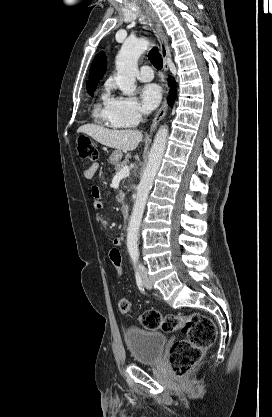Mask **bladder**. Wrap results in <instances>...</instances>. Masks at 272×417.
Here are the masks:
<instances>
[{
	"label": "bladder",
	"mask_w": 272,
	"mask_h": 417,
	"mask_svg": "<svg viewBox=\"0 0 272 417\" xmlns=\"http://www.w3.org/2000/svg\"><path fill=\"white\" fill-rule=\"evenodd\" d=\"M124 342L134 361L156 364L162 357L166 337L160 332L130 327L124 332Z\"/></svg>",
	"instance_id": "1"
}]
</instances>
